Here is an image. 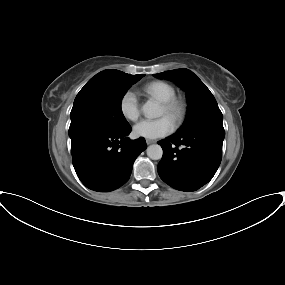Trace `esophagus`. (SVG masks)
Returning <instances> with one entry per match:
<instances>
[{
	"mask_svg": "<svg viewBox=\"0 0 285 285\" xmlns=\"http://www.w3.org/2000/svg\"><path fill=\"white\" fill-rule=\"evenodd\" d=\"M146 143L149 145V144L155 143V141L151 139H146Z\"/></svg>",
	"mask_w": 285,
	"mask_h": 285,
	"instance_id": "esophagus-1",
	"label": "esophagus"
}]
</instances>
